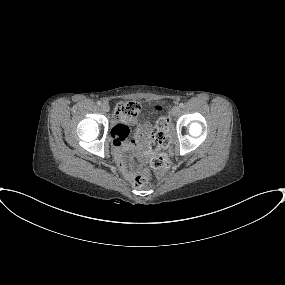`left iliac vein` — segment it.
I'll return each instance as SVG.
<instances>
[{
	"label": "left iliac vein",
	"mask_w": 285,
	"mask_h": 285,
	"mask_svg": "<svg viewBox=\"0 0 285 285\" xmlns=\"http://www.w3.org/2000/svg\"><path fill=\"white\" fill-rule=\"evenodd\" d=\"M179 112H180V107H179V106H174V107H172V109H171V114H172L173 116L178 115Z\"/></svg>",
	"instance_id": "1"
}]
</instances>
